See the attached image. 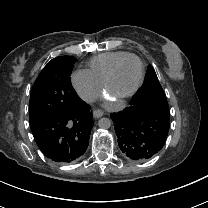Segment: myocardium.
Wrapping results in <instances>:
<instances>
[{
	"label": "myocardium",
	"mask_w": 208,
	"mask_h": 208,
	"mask_svg": "<svg viewBox=\"0 0 208 208\" xmlns=\"http://www.w3.org/2000/svg\"><path fill=\"white\" fill-rule=\"evenodd\" d=\"M128 58H135L139 62L140 77H139L138 83L130 92L123 94V95H114L111 91V85L114 80L116 71L119 68V66L121 65V63ZM144 78H145V67H144V63H143L142 59L139 56H137L136 54L128 53L125 56H123L122 58H120L119 60H117L114 63V65L112 66L105 82L102 85L103 92L105 95L110 96V97L120 101L121 103H123L127 99L133 97L140 90V88L142 87V85L144 83Z\"/></svg>",
	"instance_id": "1"
}]
</instances>
